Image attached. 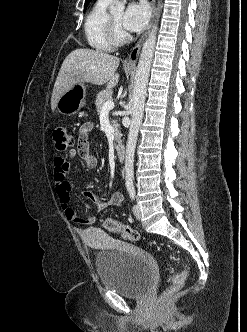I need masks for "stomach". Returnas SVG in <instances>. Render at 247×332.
Here are the masks:
<instances>
[{
  "label": "stomach",
  "instance_id": "obj_1",
  "mask_svg": "<svg viewBox=\"0 0 247 332\" xmlns=\"http://www.w3.org/2000/svg\"><path fill=\"white\" fill-rule=\"evenodd\" d=\"M126 71L131 72L132 70L127 68ZM85 105L86 86L80 82L59 97L56 108L60 114L71 116L77 114Z\"/></svg>",
  "mask_w": 247,
  "mask_h": 332
}]
</instances>
